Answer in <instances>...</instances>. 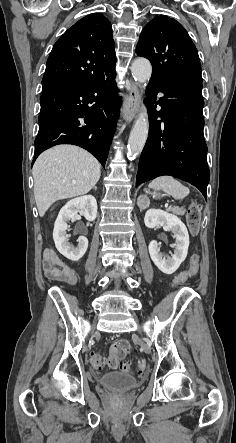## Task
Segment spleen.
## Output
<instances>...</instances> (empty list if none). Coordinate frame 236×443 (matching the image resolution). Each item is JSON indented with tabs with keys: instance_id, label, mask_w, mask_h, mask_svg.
<instances>
[{
	"instance_id": "obj_1",
	"label": "spleen",
	"mask_w": 236,
	"mask_h": 443,
	"mask_svg": "<svg viewBox=\"0 0 236 443\" xmlns=\"http://www.w3.org/2000/svg\"><path fill=\"white\" fill-rule=\"evenodd\" d=\"M149 188L162 190L174 199H183L189 194V189L171 176H161L152 180Z\"/></svg>"
}]
</instances>
